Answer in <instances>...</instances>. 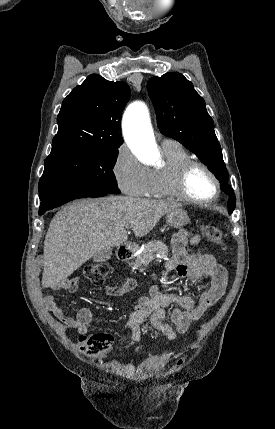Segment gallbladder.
<instances>
[{"label": "gallbladder", "mask_w": 275, "mask_h": 429, "mask_svg": "<svg viewBox=\"0 0 275 429\" xmlns=\"http://www.w3.org/2000/svg\"><path fill=\"white\" fill-rule=\"evenodd\" d=\"M112 255V249L110 247L103 249L99 253H97L95 256H93L94 262H105L108 259H110Z\"/></svg>", "instance_id": "bac80fb5"}]
</instances>
